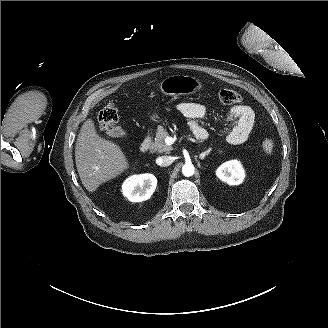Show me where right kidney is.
Masks as SVG:
<instances>
[{"instance_id": "right-kidney-1", "label": "right kidney", "mask_w": 328, "mask_h": 328, "mask_svg": "<svg viewBox=\"0 0 328 328\" xmlns=\"http://www.w3.org/2000/svg\"><path fill=\"white\" fill-rule=\"evenodd\" d=\"M157 179L152 174L132 176L123 185V193L131 202L148 200L154 193Z\"/></svg>"}]
</instances>
